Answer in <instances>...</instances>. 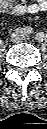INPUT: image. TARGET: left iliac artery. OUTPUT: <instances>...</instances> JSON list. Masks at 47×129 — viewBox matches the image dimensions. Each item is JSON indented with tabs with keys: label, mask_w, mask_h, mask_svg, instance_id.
Listing matches in <instances>:
<instances>
[{
	"label": "left iliac artery",
	"mask_w": 47,
	"mask_h": 129,
	"mask_svg": "<svg viewBox=\"0 0 47 129\" xmlns=\"http://www.w3.org/2000/svg\"><path fill=\"white\" fill-rule=\"evenodd\" d=\"M46 38H47V35L43 32L36 34V39L37 40L42 41V40H45Z\"/></svg>",
	"instance_id": "44dca946"
}]
</instances>
